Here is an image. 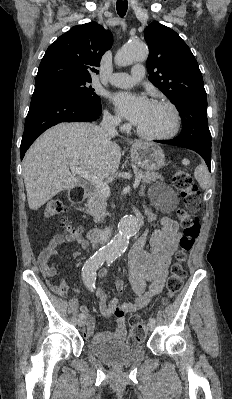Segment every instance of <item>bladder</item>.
Instances as JSON below:
<instances>
[{
	"label": "bladder",
	"mask_w": 232,
	"mask_h": 399,
	"mask_svg": "<svg viewBox=\"0 0 232 399\" xmlns=\"http://www.w3.org/2000/svg\"><path fill=\"white\" fill-rule=\"evenodd\" d=\"M87 350L97 359L110 365H125L136 360L142 353V346L130 345L121 340L88 344Z\"/></svg>",
	"instance_id": "1"
}]
</instances>
